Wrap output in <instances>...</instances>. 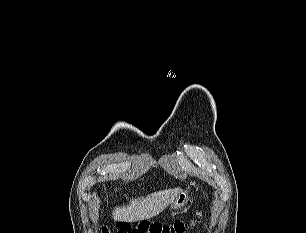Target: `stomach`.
<instances>
[{
  "instance_id": "obj_1",
  "label": "stomach",
  "mask_w": 306,
  "mask_h": 233,
  "mask_svg": "<svg viewBox=\"0 0 306 233\" xmlns=\"http://www.w3.org/2000/svg\"><path fill=\"white\" fill-rule=\"evenodd\" d=\"M189 200V194L187 191H181L175 200L170 204L171 209L178 210L183 207Z\"/></svg>"
}]
</instances>
